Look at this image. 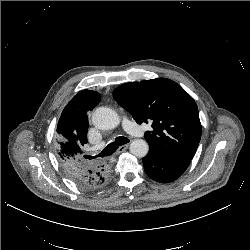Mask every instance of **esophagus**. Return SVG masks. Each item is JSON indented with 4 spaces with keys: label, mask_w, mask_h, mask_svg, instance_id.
<instances>
[{
    "label": "esophagus",
    "mask_w": 250,
    "mask_h": 250,
    "mask_svg": "<svg viewBox=\"0 0 250 250\" xmlns=\"http://www.w3.org/2000/svg\"><path fill=\"white\" fill-rule=\"evenodd\" d=\"M128 146H129V144H125V145L120 146L118 148L116 154H120V153L124 152L125 150H127Z\"/></svg>",
    "instance_id": "1"
}]
</instances>
